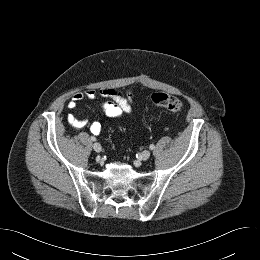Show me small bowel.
Here are the masks:
<instances>
[{
	"label": "small bowel",
	"instance_id": "small-bowel-1",
	"mask_svg": "<svg viewBox=\"0 0 260 260\" xmlns=\"http://www.w3.org/2000/svg\"><path fill=\"white\" fill-rule=\"evenodd\" d=\"M104 99L100 102V107L103 112L110 117H120L123 114L130 113L133 107V93L126 94L117 89H102L94 90L87 89L83 92H78L72 96L68 101L67 107L69 110L74 111L78 107V103L84 99L96 100ZM67 122L76 130H81L87 126V121L76 117L74 114L69 113L66 117ZM90 131L94 135H100L102 132V125L99 122H92L90 124Z\"/></svg>",
	"mask_w": 260,
	"mask_h": 260
}]
</instances>
